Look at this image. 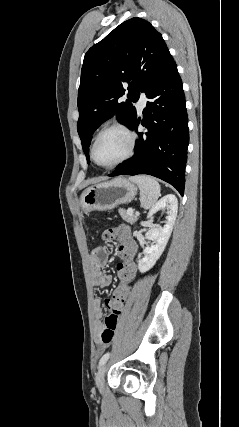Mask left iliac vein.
<instances>
[{"instance_id":"4c4485c4","label":"left iliac vein","mask_w":239,"mask_h":427,"mask_svg":"<svg viewBox=\"0 0 239 427\" xmlns=\"http://www.w3.org/2000/svg\"><path fill=\"white\" fill-rule=\"evenodd\" d=\"M106 364H103L100 368H99V370H98V372H97V374H96V377H95V383H96V386H97V388H98V390L102 393L103 392V390H104V380H105V372H106Z\"/></svg>"}]
</instances>
